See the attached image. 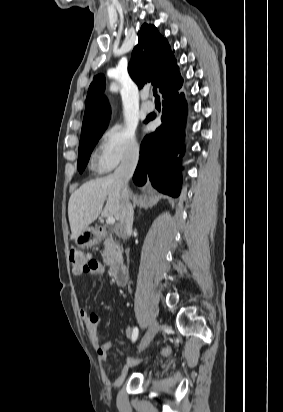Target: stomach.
Returning <instances> with one entry per match:
<instances>
[{"label":"stomach","instance_id":"0dacf381","mask_svg":"<svg viewBox=\"0 0 283 412\" xmlns=\"http://www.w3.org/2000/svg\"><path fill=\"white\" fill-rule=\"evenodd\" d=\"M98 242V235L93 228H86L80 235L75 238V244L78 247H90Z\"/></svg>","mask_w":283,"mask_h":412}]
</instances>
